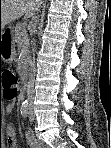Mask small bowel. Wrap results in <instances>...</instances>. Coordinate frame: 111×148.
Here are the masks:
<instances>
[{
  "label": "small bowel",
  "instance_id": "1",
  "mask_svg": "<svg viewBox=\"0 0 111 148\" xmlns=\"http://www.w3.org/2000/svg\"><path fill=\"white\" fill-rule=\"evenodd\" d=\"M14 108H15V103H10L6 107V110L8 113H11V112H13ZM14 136H15V129L13 126L10 125L6 129V138H7V143H8L7 147L17 148ZM25 139L27 141V144L31 148H41L43 146L38 142V140L36 139V137L32 131H27L25 133Z\"/></svg>",
  "mask_w": 111,
  "mask_h": 148
}]
</instances>
